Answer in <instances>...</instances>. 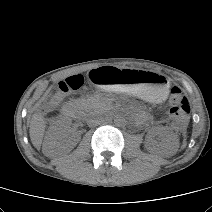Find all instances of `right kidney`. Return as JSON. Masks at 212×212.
Wrapping results in <instances>:
<instances>
[{
    "mask_svg": "<svg viewBox=\"0 0 212 212\" xmlns=\"http://www.w3.org/2000/svg\"><path fill=\"white\" fill-rule=\"evenodd\" d=\"M63 127L59 123H55L52 129L47 133L43 143V153L47 157H56L61 154L70 152L80 141L78 135H71L69 137L62 136Z\"/></svg>",
    "mask_w": 212,
    "mask_h": 212,
    "instance_id": "obj_1",
    "label": "right kidney"
}]
</instances>
